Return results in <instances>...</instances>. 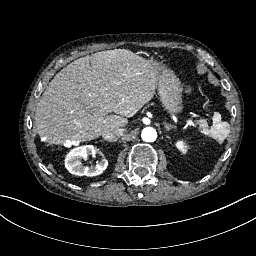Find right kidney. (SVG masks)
I'll return each mask as SVG.
<instances>
[{"mask_svg":"<svg viewBox=\"0 0 256 256\" xmlns=\"http://www.w3.org/2000/svg\"><path fill=\"white\" fill-rule=\"evenodd\" d=\"M100 151L89 145L73 149L65 160V166L74 175L82 176H95L101 174L106 170L108 161L102 156L101 160L96 165H90L89 167L82 164V160H86L88 155L92 157L99 154Z\"/></svg>","mask_w":256,"mask_h":256,"instance_id":"obj_1","label":"right kidney"}]
</instances>
